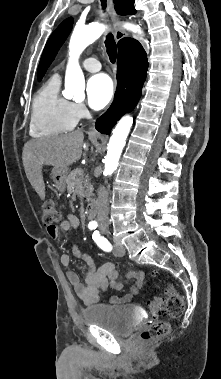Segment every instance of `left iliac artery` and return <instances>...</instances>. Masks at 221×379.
Listing matches in <instances>:
<instances>
[{
    "label": "left iliac artery",
    "instance_id": "1",
    "mask_svg": "<svg viewBox=\"0 0 221 379\" xmlns=\"http://www.w3.org/2000/svg\"><path fill=\"white\" fill-rule=\"evenodd\" d=\"M93 240L102 250L107 252H110L112 250V245L110 242L104 236H101L98 231H95L93 233Z\"/></svg>",
    "mask_w": 221,
    "mask_h": 379
}]
</instances>
